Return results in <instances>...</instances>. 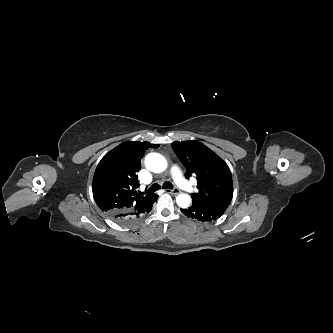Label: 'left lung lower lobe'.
<instances>
[{
	"label": "left lung lower lobe",
	"instance_id": "obj_1",
	"mask_svg": "<svg viewBox=\"0 0 333 333\" xmlns=\"http://www.w3.org/2000/svg\"><path fill=\"white\" fill-rule=\"evenodd\" d=\"M226 211L224 207L207 205L200 201H192V205L188 208L181 209V212L189 218L199 221L210 222L218 219Z\"/></svg>",
	"mask_w": 333,
	"mask_h": 333
}]
</instances>
